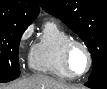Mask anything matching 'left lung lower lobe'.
Segmentation results:
<instances>
[{"label": "left lung lower lobe", "mask_w": 107, "mask_h": 89, "mask_svg": "<svg viewBox=\"0 0 107 89\" xmlns=\"http://www.w3.org/2000/svg\"><path fill=\"white\" fill-rule=\"evenodd\" d=\"M85 86L92 89H107V71L102 72L98 77L89 80Z\"/></svg>", "instance_id": "obj_1"}]
</instances>
